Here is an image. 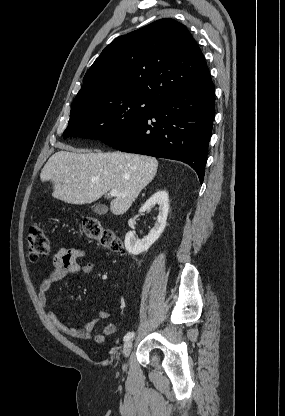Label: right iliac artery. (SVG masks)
I'll return each mask as SVG.
<instances>
[{
  "instance_id": "1",
  "label": "right iliac artery",
  "mask_w": 285,
  "mask_h": 416,
  "mask_svg": "<svg viewBox=\"0 0 285 416\" xmlns=\"http://www.w3.org/2000/svg\"><path fill=\"white\" fill-rule=\"evenodd\" d=\"M135 333L134 332H128L125 336H124V342L129 341L130 339H132L134 337Z\"/></svg>"
}]
</instances>
